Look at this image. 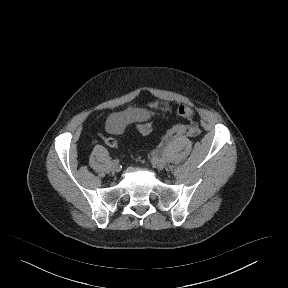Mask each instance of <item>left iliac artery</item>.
<instances>
[{
	"label": "left iliac artery",
	"instance_id": "1",
	"mask_svg": "<svg viewBox=\"0 0 288 288\" xmlns=\"http://www.w3.org/2000/svg\"><path fill=\"white\" fill-rule=\"evenodd\" d=\"M156 155H157V156H161V153L158 152Z\"/></svg>",
	"mask_w": 288,
	"mask_h": 288
}]
</instances>
